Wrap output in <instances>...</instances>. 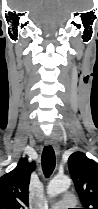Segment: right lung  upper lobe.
Here are the masks:
<instances>
[{"mask_svg":"<svg viewBox=\"0 0 98 209\" xmlns=\"http://www.w3.org/2000/svg\"><path fill=\"white\" fill-rule=\"evenodd\" d=\"M35 164L21 158L17 167L0 177V209H26L30 175Z\"/></svg>","mask_w":98,"mask_h":209,"instance_id":"1","label":"right lung upper lobe"}]
</instances>
